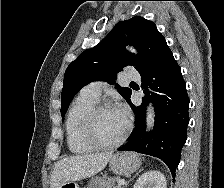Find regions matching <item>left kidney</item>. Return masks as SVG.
I'll list each match as a JSON object with an SVG mask.
<instances>
[{
	"label": "left kidney",
	"instance_id": "obj_1",
	"mask_svg": "<svg viewBox=\"0 0 224 188\" xmlns=\"http://www.w3.org/2000/svg\"><path fill=\"white\" fill-rule=\"evenodd\" d=\"M166 178L157 170L147 171L142 174L133 188H166Z\"/></svg>",
	"mask_w": 224,
	"mask_h": 188
}]
</instances>
